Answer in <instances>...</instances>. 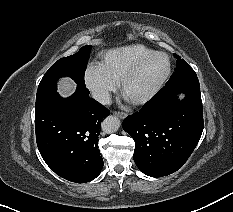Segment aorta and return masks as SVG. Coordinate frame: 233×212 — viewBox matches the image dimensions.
<instances>
[{"mask_svg":"<svg viewBox=\"0 0 233 212\" xmlns=\"http://www.w3.org/2000/svg\"><path fill=\"white\" fill-rule=\"evenodd\" d=\"M121 125V122L116 116H108L101 125V128L104 133L111 134L116 132Z\"/></svg>","mask_w":233,"mask_h":212,"instance_id":"aorta-1","label":"aorta"}]
</instances>
